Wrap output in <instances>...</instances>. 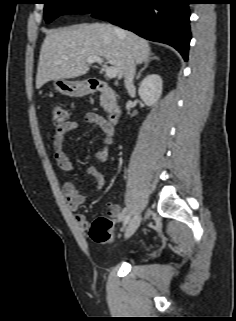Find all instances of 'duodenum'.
Returning a JSON list of instances; mask_svg holds the SVG:
<instances>
[{
    "mask_svg": "<svg viewBox=\"0 0 236 321\" xmlns=\"http://www.w3.org/2000/svg\"><path fill=\"white\" fill-rule=\"evenodd\" d=\"M88 87L90 91L99 92L105 96L108 102L107 113L109 121L115 123L121 116V109L116 103L113 89L105 81L96 78L89 80Z\"/></svg>",
    "mask_w": 236,
    "mask_h": 321,
    "instance_id": "1",
    "label": "duodenum"
}]
</instances>
